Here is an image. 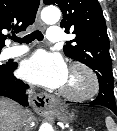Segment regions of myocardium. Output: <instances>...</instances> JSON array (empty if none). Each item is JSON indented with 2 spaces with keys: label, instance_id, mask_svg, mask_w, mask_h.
Here are the masks:
<instances>
[{
  "label": "myocardium",
  "instance_id": "f54148a6",
  "mask_svg": "<svg viewBox=\"0 0 117 131\" xmlns=\"http://www.w3.org/2000/svg\"><path fill=\"white\" fill-rule=\"evenodd\" d=\"M69 72H80L85 78V87L81 91H70L61 88L59 93L62 97L71 101H86L98 93V77L91 68L82 63H73L69 68Z\"/></svg>",
  "mask_w": 117,
  "mask_h": 131
}]
</instances>
